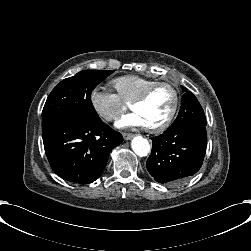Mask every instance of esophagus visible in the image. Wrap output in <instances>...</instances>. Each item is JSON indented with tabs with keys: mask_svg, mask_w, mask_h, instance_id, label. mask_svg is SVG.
Segmentation results:
<instances>
[{
	"mask_svg": "<svg viewBox=\"0 0 251 251\" xmlns=\"http://www.w3.org/2000/svg\"><path fill=\"white\" fill-rule=\"evenodd\" d=\"M122 135L125 140H130L134 136L132 133H123Z\"/></svg>",
	"mask_w": 251,
	"mask_h": 251,
	"instance_id": "esophagus-1",
	"label": "esophagus"
}]
</instances>
